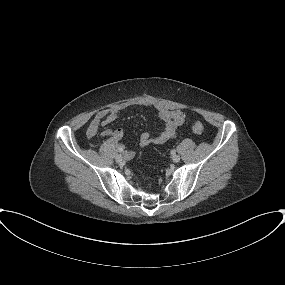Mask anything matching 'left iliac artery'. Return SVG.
I'll list each match as a JSON object with an SVG mask.
<instances>
[{
    "label": "left iliac artery",
    "instance_id": "1",
    "mask_svg": "<svg viewBox=\"0 0 285 285\" xmlns=\"http://www.w3.org/2000/svg\"><path fill=\"white\" fill-rule=\"evenodd\" d=\"M175 153H176V151H175V150H172V151H171V154H172V155H174Z\"/></svg>",
    "mask_w": 285,
    "mask_h": 285
}]
</instances>
